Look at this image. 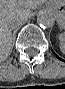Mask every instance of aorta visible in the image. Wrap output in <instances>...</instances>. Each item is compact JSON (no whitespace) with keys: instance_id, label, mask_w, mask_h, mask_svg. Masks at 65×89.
<instances>
[{"instance_id":"762f6f07","label":"aorta","mask_w":65,"mask_h":89,"mask_svg":"<svg viewBox=\"0 0 65 89\" xmlns=\"http://www.w3.org/2000/svg\"><path fill=\"white\" fill-rule=\"evenodd\" d=\"M37 22L40 27L48 29L54 25V17L49 10H41L37 15Z\"/></svg>"}]
</instances>
